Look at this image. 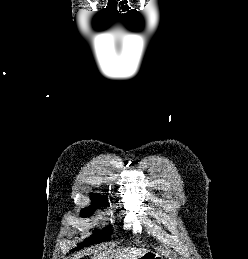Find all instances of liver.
<instances>
[{
  "instance_id": "1",
  "label": "liver",
  "mask_w": 248,
  "mask_h": 259,
  "mask_svg": "<svg viewBox=\"0 0 248 259\" xmlns=\"http://www.w3.org/2000/svg\"><path fill=\"white\" fill-rule=\"evenodd\" d=\"M146 250L140 248H123L109 252L95 253L90 259H137Z\"/></svg>"
}]
</instances>
